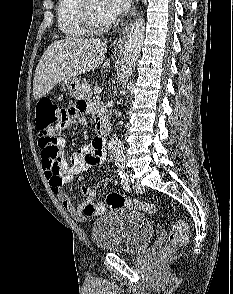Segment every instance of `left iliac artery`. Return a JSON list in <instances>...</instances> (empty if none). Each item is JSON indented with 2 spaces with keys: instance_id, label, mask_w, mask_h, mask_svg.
Listing matches in <instances>:
<instances>
[{
  "instance_id": "1",
  "label": "left iliac artery",
  "mask_w": 233,
  "mask_h": 294,
  "mask_svg": "<svg viewBox=\"0 0 233 294\" xmlns=\"http://www.w3.org/2000/svg\"><path fill=\"white\" fill-rule=\"evenodd\" d=\"M124 169H125L124 164L119 166V171L118 172H119V177L120 178H126L125 173H124Z\"/></svg>"
}]
</instances>
